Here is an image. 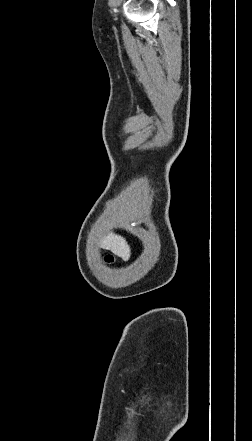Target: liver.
Here are the masks:
<instances>
[{"label":"liver","instance_id":"obj_1","mask_svg":"<svg viewBox=\"0 0 252 441\" xmlns=\"http://www.w3.org/2000/svg\"><path fill=\"white\" fill-rule=\"evenodd\" d=\"M100 246L111 250L113 253L128 260L131 255V249L126 239L120 235L109 233L100 240Z\"/></svg>","mask_w":252,"mask_h":441}]
</instances>
